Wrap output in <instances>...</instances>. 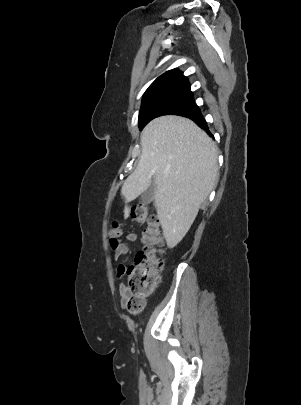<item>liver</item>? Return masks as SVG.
<instances>
[{
    "label": "liver",
    "mask_w": 301,
    "mask_h": 405,
    "mask_svg": "<svg viewBox=\"0 0 301 405\" xmlns=\"http://www.w3.org/2000/svg\"><path fill=\"white\" fill-rule=\"evenodd\" d=\"M141 156L121 193L129 203L156 184L155 207L169 248L175 247L193 224L201 204L215 186L217 146L192 120L161 116L141 133ZM129 208H124L127 218Z\"/></svg>",
    "instance_id": "6515ba94"
}]
</instances>
